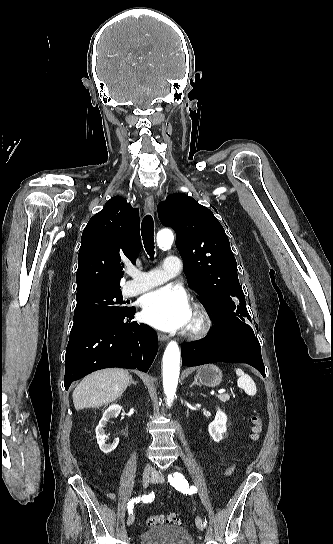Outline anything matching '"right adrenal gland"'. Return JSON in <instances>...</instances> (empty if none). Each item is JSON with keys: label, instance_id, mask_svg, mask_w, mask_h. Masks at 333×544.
<instances>
[{"label": "right adrenal gland", "instance_id": "1", "mask_svg": "<svg viewBox=\"0 0 333 544\" xmlns=\"http://www.w3.org/2000/svg\"><path fill=\"white\" fill-rule=\"evenodd\" d=\"M131 384L137 385V382H135V381L133 380L132 377H130L129 386H130Z\"/></svg>", "mask_w": 333, "mask_h": 544}]
</instances>
